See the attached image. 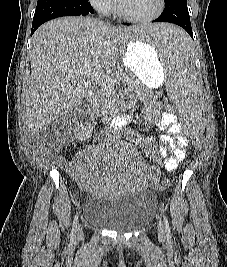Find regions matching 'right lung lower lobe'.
<instances>
[{"mask_svg":"<svg viewBox=\"0 0 227 267\" xmlns=\"http://www.w3.org/2000/svg\"><path fill=\"white\" fill-rule=\"evenodd\" d=\"M93 13L88 0H38L31 35L44 22L62 16H85Z\"/></svg>","mask_w":227,"mask_h":267,"instance_id":"obj_1","label":"right lung lower lobe"}]
</instances>
